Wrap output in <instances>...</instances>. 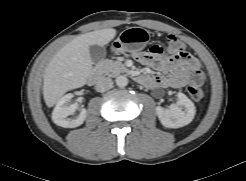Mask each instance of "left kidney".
<instances>
[{
	"mask_svg": "<svg viewBox=\"0 0 246 181\" xmlns=\"http://www.w3.org/2000/svg\"><path fill=\"white\" fill-rule=\"evenodd\" d=\"M177 98V104H171L168 108L156 107V114L160 122L167 128H180L188 125L194 119L196 113L194 103L181 92L177 93Z\"/></svg>",
	"mask_w": 246,
	"mask_h": 181,
	"instance_id": "5707ae66",
	"label": "left kidney"
}]
</instances>
